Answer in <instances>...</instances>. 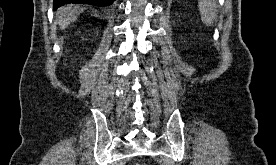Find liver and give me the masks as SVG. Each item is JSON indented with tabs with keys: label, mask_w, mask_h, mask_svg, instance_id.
Returning <instances> with one entry per match:
<instances>
[{
	"label": "liver",
	"mask_w": 276,
	"mask_h": 165,
	"mask_svg": "<svg viewBox=\"0 0 276 165\" xmlns=\"http://www.w3.org/2000/svg\"><path fill=\"white\" fill-rule=\"evenodd\" d=\"M60 29H65L71 22L75 21L78 15L77 9L73 5H65L58 10Z\"/></svg>",
	"instance_id": "1"
}]
</instances>
